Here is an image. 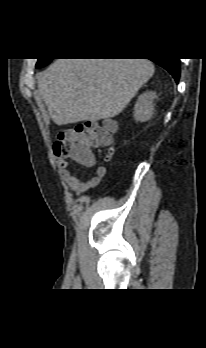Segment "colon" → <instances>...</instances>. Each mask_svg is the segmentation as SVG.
<instances>
[{"label":"colon","mask_w":206,"mask_h":348,"mask_svg":"<svg viewBox=\"0 0 206 348\" xmlns=\"http://www.w3.org/2000/svg\"><path fill=\"white\" fill-rule=\"evenodd\" d=\"M113 123L96 121L77 125L74 129L60 132L53 144L55 156L88 165L95 161L93 148L111 146ZM113 148L110 147L105 160H110Z\"/></svg>","instance_id":"obj_1"}]
</instances>
